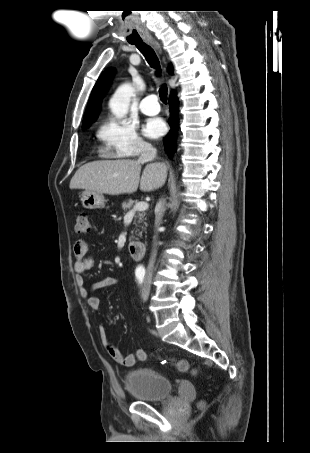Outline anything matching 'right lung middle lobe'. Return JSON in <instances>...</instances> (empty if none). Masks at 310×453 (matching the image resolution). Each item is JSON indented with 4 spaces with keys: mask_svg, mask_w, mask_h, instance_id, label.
<instances>
[{
    "mask_svg": "<svg viewBox=\"0 0 310 453\" xmlns=\"http://www.w3.org/2000/svg\"><path fill=\"white\" fill-rule=\"evenodd\" d=\"M82 127H83V128H87V125H83Z\"/></svg>",
    "mask_w": 310,
    "mask_h": 453,
    "instance_id": "dd1d6c3e",
    "label": "right lung middle lobe"
}]
</instances>
